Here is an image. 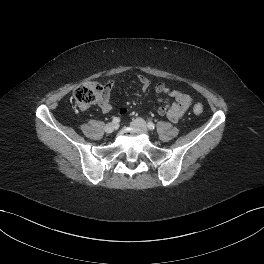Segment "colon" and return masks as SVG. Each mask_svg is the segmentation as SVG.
<instances>
[{
  "mask_svg": "<svg viewBox=\"0 0 264 264\" xmlns=\"http://www.w3.org/2000/svg\"><path fill=\"white\" fill-rule=\"evenodd\" d=\"M105 94V86L102 84L90 81L84 83L83 85L77 87L74 90V99L82 108H87L90 105L99 102ZM193 111L196 114H201L203 112V107L201 104L197 103L193 107Z\"/></svg>",
  "mask_w": 264,
  "mask_h": 264,
  "instance_id": "obj_1",
  "label": "colon"
}]
</instances>
